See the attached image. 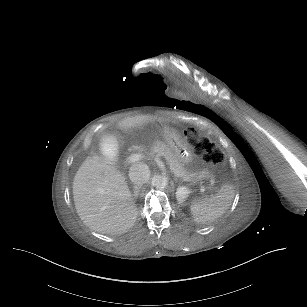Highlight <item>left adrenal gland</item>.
<instances>
[{
    "label": "left adrenal gland",
    "instance_id": "left-adrenal-gland-1",
    "mask_svg": "<svg viewBox=\"0 0 307 307\" xmlns=\"http://www.w3.org/2000/svg\"><path fill=\"white\" fill-rule=\"evenodd\" d=\"M174 181H175V182H177V181H178V179H177V178H174Z\"/></svg>",
    "mask_w": 307,
    "mask_h": 307
}]
</instances>
